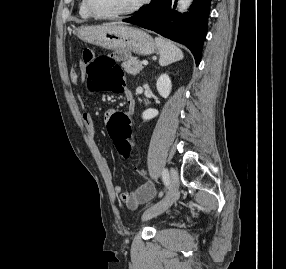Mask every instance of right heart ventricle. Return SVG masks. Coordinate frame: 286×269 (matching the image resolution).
I'll list each match as a JSON object with an SVG mask.
<instances>
[{"label":"right heart ventricle","instance_id":"1","mask_svg":"<svg viewBox=\"0 0 286 269\" xmlns=\"http://www.w3.org/2000/svg\"><path fill=\"white\" fill-rule=\"evenodd\" d=\"M79 14L84 17V18H89L90 14L87 12L86 8H85V3L84 0L80 1V5H79Z\"/></svg>","mask_w":286,"mask_h":269}]
</instances>
